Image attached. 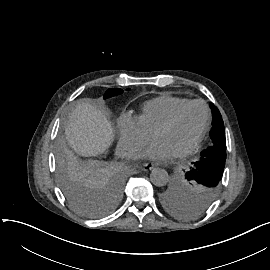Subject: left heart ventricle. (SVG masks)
I'll use <instances>...</instances> for the list:
<instances>
[{"label":"left heart ventricle","instance_id":"left-heart-ventricle-1","mask_svg":"<svg viewBox=\"0 0 270 270\" xmlns=\"http://www.w3.org/2000/svg\"><path fill=\"white\" fill-rule=\"evenodd\" d=\"M205 112L201 105L188 108L171 128L153 134L155 140L167 143L177 154L188 148L199 136L203 127Z\"/></svg>","mask_w":270,"mask_h":270}]
</instances>
